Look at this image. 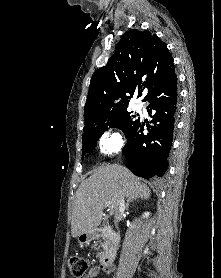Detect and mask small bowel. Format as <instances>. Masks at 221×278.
<instances>
[{
    "label": "small bowel",
    "mask_w": 221,
    "mask_h": 278,
    "mask_svg": "<svg viewBox=\"0 0 221 278\" xmlns=\"http://www.w3.org/2000/svg\"><path fill=\"white\" fill-rule=\"evenodd\" d=\"M100 270H101V269H100L99 267H97V266H92V267L90 268L89 273H88V275H87L86 278H94V277H96V276L99 274ZM104 272H106V273H111L112 270H111V269H104Z\"/></svg>",
    "instance_id": "small-bowel-1"
}]
</instances>
